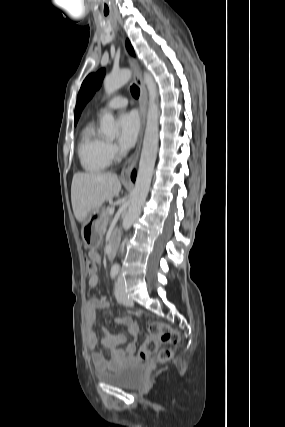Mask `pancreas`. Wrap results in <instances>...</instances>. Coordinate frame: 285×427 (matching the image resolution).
Masks as SVG:
<instances>
[{"mask_svg": "<svg viewBox=\"0 0 285 427\" xmlns=\"http://www.w3.org/2000/svg\"><path fill=\"white\" fill-rule=\"evenodd\" d=\"M110 207H107L105 210H103L102 214H101V219H100V230L101 232H105L107 224L109 222V211H110Z\"/></svg>", "mask_w": 285, "mask_h": 427, "instance_id": "obj_1", "label": "pancreas"}]
</instances>
